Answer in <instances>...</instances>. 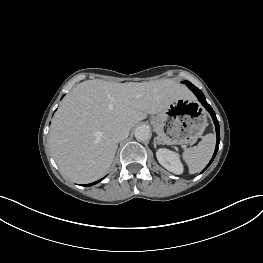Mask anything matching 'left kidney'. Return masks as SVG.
<instances>
[{
  "label": "left kidney",
  "mask_w": 263,
  "mask_h": 263,
  "mask_svg": "<svg viewBox=\"0 0 263 263\" xmlns=\"http://www.w3.org/2000/svg\"><path fill=\"white\" fill-rule=\"evenodd\" d=\"M156 157L158 162L168 171L178 175L183 173V164L177 153L165 148H160L156 152Z\"/></svg>",
  "instance_id": "1"
}]
</instances>
